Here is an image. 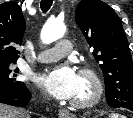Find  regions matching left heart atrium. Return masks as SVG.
<instances>
[{
    "label": "left heart atrium",
    "mask_w": 133,
    "mask_h": 118,
    "mask_svg": "<svg viewBox=\"0 0 133 118\" xmlns=\"http://www.w3.org/2000/svg\"><path fill=\"white\" fill-rule=\"evenodd\" d=\"M40 82L44 89L57 99L74 98L80 86L79 75L70 66L54 68L42 76Z\"/></svg>",
    "instance_id": "39dd6f15"
}]
</instances>
